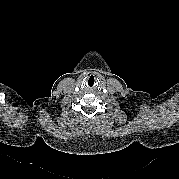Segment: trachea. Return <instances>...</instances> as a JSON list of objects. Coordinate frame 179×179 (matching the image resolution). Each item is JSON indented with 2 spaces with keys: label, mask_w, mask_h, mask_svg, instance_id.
Instances as JSON below:
<instances>
[{
  "label": "trachea",
  "mask_w": 179,
  "mask_h": 179,
  "mask_svg": "<svg viewBox=\"0 0 179 179\" xmlns=\"http://www.w3.org/2000/svg\"><path fill=\"white\" fill-rule=\"evenodd\" d=\"M97 83V78L93 75L88 76L87 78V85L89 87H94Z\"/></svg>",
  "instance_id": "obj_1"
}]
</instances>
